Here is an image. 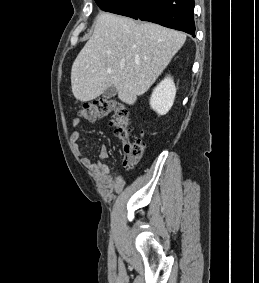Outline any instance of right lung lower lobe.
Instances as JSON below:
<instances>
[{
  "label": "right lung lower lobe",
  "mask_w": 259,
  "mask_h": 283,
  "mask_svg": "<svg viewBox=\"0 0 259 283\" xmlns=\"http://www.w3.org/2000/svg\"><path fill=\"white\" fill-rule=\"evenodd\" d=\"M104 11L150 21L195 36L194 0H95Z\"/></svg>",
  "instance_id": "right-lung-lower-lobe-1"
}]
</instances>
